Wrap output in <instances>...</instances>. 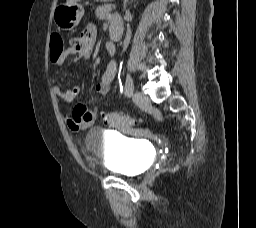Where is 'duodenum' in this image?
Listing matches in <instances>:
<instances>
[{
    "mask_svg": "<svg viewBox=\"0 0 256 228\" xmlns=\"http://www.w3.org/2000/svg\"><path fill=\"white\" fill-rule=\"evenodd\" d=\"M123 31L124 29L121 21H114L111 23L109 33L112 40L117 41L121 39Z\"/></svg>",
    "mask_w": 256,
    "mask_h": 228,
    "instance_id": "1",
    "label": "duodenum"
}]
</instances>
